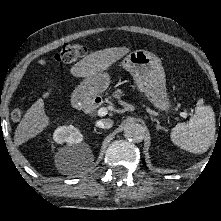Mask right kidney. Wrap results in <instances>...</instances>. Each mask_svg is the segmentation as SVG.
I'll use <instances>...</instances> for the list:
<instances>
[{
  "label": "right kidney",
  "instance_id": "right-kidney-1",
  "mask_svg": "<svg viewBox=\"0 0 221 221\" xmlns=\"http://www.w3.org/2000/svg\"><path fill=\"white\" fill-rule=\"evenodd\" d=\"M53 139L59 144L67 143L69 145L81 143L83 135L79 129L69 125L58 127L53 134Z\"/></svg>",
  "mask_w": 221,
  "mask_h": 221
}]
</instances>
